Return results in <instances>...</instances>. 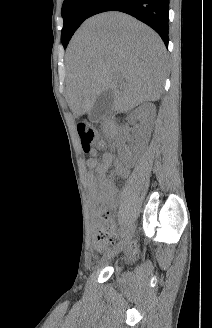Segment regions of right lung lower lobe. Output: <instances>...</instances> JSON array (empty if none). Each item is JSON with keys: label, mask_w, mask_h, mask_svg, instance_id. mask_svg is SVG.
<instances>
[{"label": "right lung lower lobe", "mask_w": 212, "mask_h": 328, "mask_svg": "<svg viewBox=\"0 0 212 328\" xmlns=\"http://www.w3.org/2000/svg\"><path fill=\"white\" fill-rule=\"evenodd\" d=\"M106 11L132 15L152 27L168 46L169 0H98L88 16Z\"/></svg>", "instance_id": "98d812e1"}]
</instances>
